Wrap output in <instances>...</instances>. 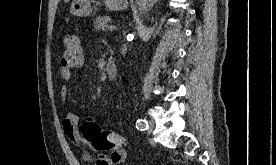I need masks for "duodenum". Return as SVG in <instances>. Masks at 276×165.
<instances>
[{"label":"duodenum","instance_id":"1","mask_svg":"<svg viewBox=\"0 0 276 165\" xmlns=\"http://www.w3.org/2000/svg\"><path fill=\"white\" fill-rule=\"evenodd\" d=\"M106 73L110 79H114L118 74V66L114 59H109L106 64Z\"/></svg>","mask_w":276,"mask_h":165}]
</instances>
